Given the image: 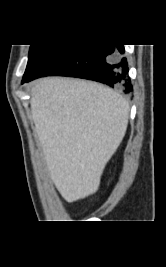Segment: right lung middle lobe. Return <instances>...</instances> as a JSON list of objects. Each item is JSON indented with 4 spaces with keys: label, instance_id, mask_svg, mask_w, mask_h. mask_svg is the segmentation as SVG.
Instances as JSON below:
<instances>
[{
    "label": "right lung middle lobe",
    "instance_id": "obj_1",
    "mask_svg": "<svg viewBox=\"0 0 166 267\" xmlns=\"http://www.w3.org/2000/svg\"><path fill=\"white\" fill-rule=\"evenodd\" d=\"M52 45H31L28 56V64L23 76V80L26 79L34 70L36 65L45 55V53L51 48Z\"/></svg>",
    "mask_w": 166,
    "mask_h": 267
}]
</instances>
